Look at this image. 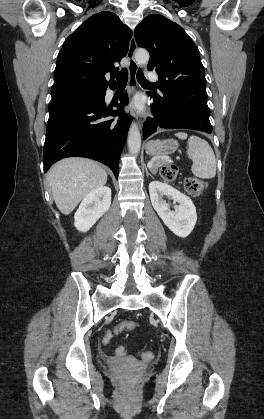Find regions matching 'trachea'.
I'll use <instances>...</instances> for the list:
<instances>
[{"mask_svg":"<svg viewBox=\"0 0 264 419\" xmlns=\"http://www.w3.org/2000/svg\"><path fill=\"white\" fill-rule=\"evenodd\" d=\"M114 75L116 76V78L118 80L117 84H119V85H126L127 80H128V72H127L126 69L125 70H122L119 73H115ZM137 80H138V82L140 84L154 85L153 83L149 82L145 78V76H144V74H143V72H142L141 69H139L138 72H137Z\"/></svg>","mask_w":264,"mask_h":419,"instance_id":"1","label":"trachea"}]
</instances>
